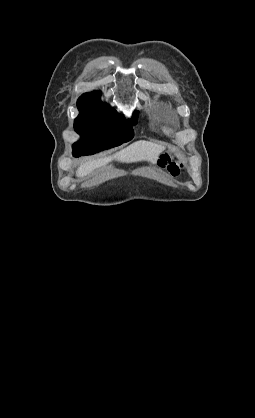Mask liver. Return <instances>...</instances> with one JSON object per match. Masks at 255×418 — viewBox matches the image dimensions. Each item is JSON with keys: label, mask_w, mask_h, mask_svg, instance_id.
<instances>
[{"label": "liver", "mask_w": 255, "mask_h": 418, "mask_svg": "<svg viewBox=\"0 0 255 418\" xmlns=\"http://www.w3.org/2000/svg\"><path fill=\"white\" fill-rule=\"evenodd\" d=\"M164 149L165 147L161 144L144 140L136 141L128 147L113 154L112 156L88 161L81 164L77 169L76 174L78 177L87 176L92 173L94 169L104 166L112 160H116L122 163L149 161L152 164H155Z\"/></svg>", "instance_id": "1"}]
</instances>
